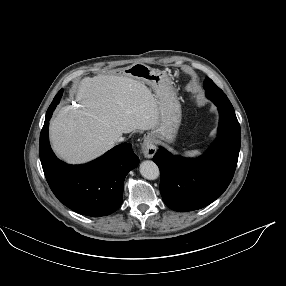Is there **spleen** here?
Listing matches in <instances>:
<instances>
[{
	"label": "spleen",
	"mask_w": 286,
	"mask_h": 286,
	"mask_svg": "<svg viewBox=\"0 0 286 286\" xmlns=\"http://www.w3.org/2000/svg\"><path fill=\"white\" fill-rule=\"evenodd\" d=\"M199 154H200L199 150H193V151L185 152V155H190V156L199 155Z\"/></svg>",
	"instance_id": "obj_1"
}]
</instances>
